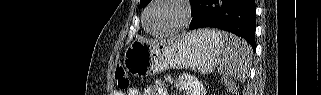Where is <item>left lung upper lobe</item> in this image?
<instances>
[{"instance_id":"1","label":"left lung upper lobe","mask_w":321,"mask_h":95,"mask_svg":"<svg viewBox=\"0 0 321 95\" xmlns=\"http://www.w3.org/2000/svg\"><path fill=\"white\" fill-rule=\"evenodd\" d=\"M151 0H141L140 1V6L145 7ZM192 2V1H191Z\"/></svg>"}]
</instances>
